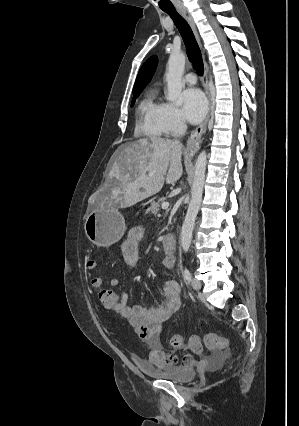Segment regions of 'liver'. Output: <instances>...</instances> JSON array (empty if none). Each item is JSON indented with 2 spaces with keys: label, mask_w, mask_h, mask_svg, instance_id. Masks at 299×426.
<instances>
[{
  "label": "liver",
  "mask_w": 299,
  "mask_h": 426,
  "mask_svg": "<svg viewBox=\"0 0 299 426\" xmlns=\"http://www.w3.org/2000/svg\"><path fill=\"white\" fill-rule=\"evenodd\" d=\"M182 153L181 144L160 137L121 145L106 188L112 195L111 204L130 207L158 193L164 182L174 184L183 173Z\"/></svg>",
  "instance_id": "liver-1"
}]
</instances>
